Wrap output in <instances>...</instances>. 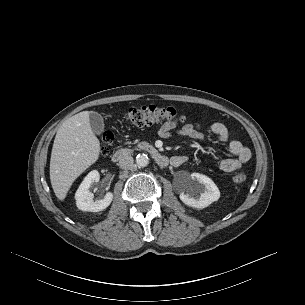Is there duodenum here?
<instances>
[{
  "instance_id": "obj_1",
  "label": "duodenum",
  "mask_w": 305,
  "mask_h": 305,
  "mask_svg": "<svg viewBox=\"0 0 305 305\" xmlns=\"http://www.w3.org/2000/svg\"><path fill=\"white\" fill-rule=\"evenodd\" d=\"M142 149L145 152H147L155 160V162L161 167H166L171 162L167 156L163 155L159 150H157L154 147L143 146ZM133 153L134 150L131 148L118 149L115 152H113L112 160L114 162H119L123 158L132 155Z\"/></svg>"
}]
</instances>
